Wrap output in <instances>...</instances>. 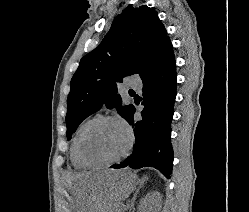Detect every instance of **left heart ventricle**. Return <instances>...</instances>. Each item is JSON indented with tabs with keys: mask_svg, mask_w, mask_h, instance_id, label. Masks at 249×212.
<instances>
[{
	"mask_svg": "<svg viewBox=\"0 0 249 212\" xmlns=\"http://www.w3.org/2000/svg\"><path fill=\"white\" fill-rule=\"evenodd\" d=\"M127 145V134L118 124L105 122L94 127L86 136L82 151L86 159L103 162L117 157Z\"/></svg>",
	"mask_w": 249,
	"mask_h": 212,
	"instance_id": "left-heart-ventricle-1",
	"label": "left heart ventricle"
}]
</instances>
